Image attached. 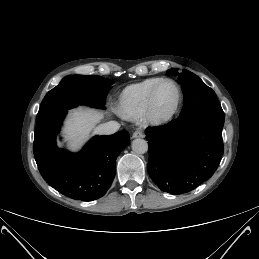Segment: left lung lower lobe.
<instances>
[{
  "label": "left lung lower lobe",
  "mask_w": 259,
  "mask_h": 259,
  "mask_svg": "<svg viewBox=\"0 0 259 259\" xmlns=\"http://www.w3.org/2000/svg\"><path fill=\"white\" fill-rule=\"evenodd\" d=\"M222 108H210L146 129L148 173L173 195L190 192L216 171L224 152Z\"/></svg>",
  "instance_id": "1"
}]
</instances>
